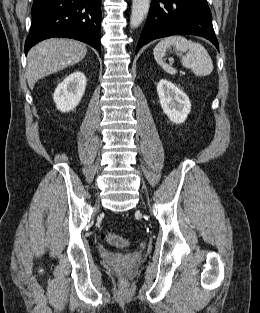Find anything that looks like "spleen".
<instances>
[{
	"mask_svg": "<svg viewBox=\"0 0 260 313\" xmlns=\"http://www.w3.org/2000/svg\"><path fill=\"white\" fill-rule=\"evenodd\" d=\"M171 47L180 57L182 65L191 69L196 76H207L212 72L213 62L200 43L187 40L180 35H174L162 39L153 50L156 62L166 73L170 75L177 73L175 68L163 61L166 51L171 50Z\"/></svg>",
	"mask_w": 260,
	"mask_h": 313,
	"instance_id": "1",
	"label": "spleen"
}]
</instances>
